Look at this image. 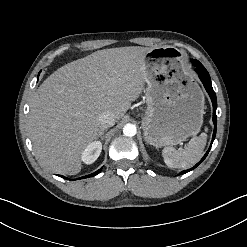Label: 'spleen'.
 <instances>
[{"label":"spleen","mask_w":247,"mask_h":247,"mask_svg":"<svg viewBox=\"0 0 247 247\" xmlns=\"http://www.w3.org/2000/svg\"><path fill=\"white\" fill-rule=\"evenodd\" d=\"M206 141L207 134L201 133L191 138L185 149L165 147L162 151L165 164L170 168H188L194 165L202 157Z\"/></svg>","instance_id":"obj_1"}]
</instances>
